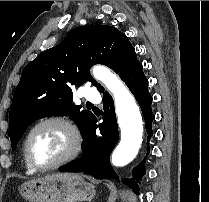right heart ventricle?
I'll return each mask as SVG.
<instances>
[{
    "instance_id": "e07e8e85",
    "label": "right heart ventricle",
    "mask_w": 209,
    "mask_h": 202,
    "mask_svg": "<svg viewBox=\"0 0 209 202\" xmlns=\"http://www.w3.org/2000/svg\"><path fill=\"white\" fill-rule=\"evenodd\" d=\"M24 166L27 173H34L35 171L28 165L24 157Z\"/></svg>"
}]
</instances>
